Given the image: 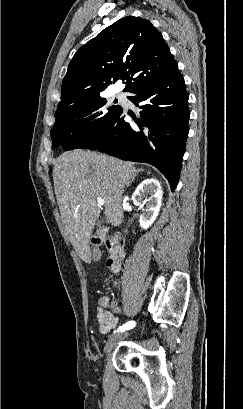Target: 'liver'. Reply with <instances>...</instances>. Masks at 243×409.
Wrapping results in <instances>:
<instances>
[{
	"label": "liver",
	"instance_id": "1",
	"mask_svg": "<svg viewBox=\"0 0 243 409\" xmlns=\"http://www.w3.org/2000/svg\"><path fill=\"white\" fill-rule=\"evenodd\" d=\"M139 171L130 162L95 152L73 150L58 157L53 168L55 195L66 234L83 259L90 255L92 229L104 199L105 221L123 222L122 195Z\"/></svg>",
	"mask_w": 243,
	"mask_h": 409
}]
</instances>
